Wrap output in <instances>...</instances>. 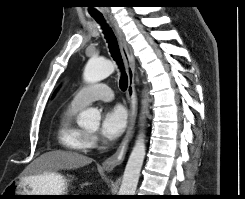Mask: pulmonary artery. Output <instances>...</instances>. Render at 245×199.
Instances as JSON below:
<instances>
[{
    "instance_id": "pulmonary-artery-1",
    "label": "pulmonary artery",
    "mask_w": 245,
    "mask_h": 199,
    "mask_svg": "<svg viewBox=\"0 0 245 199\" xmlns=\"http://www.w3.org/2000/svg\"><path fill=\"white\" fill-rule=\"evenodd\" d=\"M114 97L112 90L105 84L95 83L79 89L71 100V104L84 108L96 100L110 101Z\"/></svg>"
}]
</instances>
